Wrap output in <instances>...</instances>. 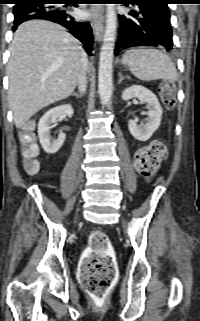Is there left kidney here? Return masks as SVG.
Here are the masks:
<instances>
[{
    "mask_svg": "<svg viewBox=\"0 0 200 321\" xmlns=\"http://www.w3.org/2000/svg\"><path fill=\"white\" fill-rule=\"evenodd\" d=\"M138 98L141 103H145L148 111L146 124H137L134 120H129L128 128L131 135L139 141H147L158 129L161 123L162 107L156 95L147 88L140 85H132L126 88L122 93L124 101L132 98Z\"/></svg>",
    "mask_w": 200,
    "mask_h": 321,
    "instance_id": "left-kidney-1",
    "label": "left kidney"
}]
</instances>
